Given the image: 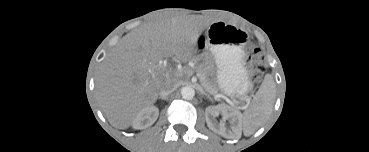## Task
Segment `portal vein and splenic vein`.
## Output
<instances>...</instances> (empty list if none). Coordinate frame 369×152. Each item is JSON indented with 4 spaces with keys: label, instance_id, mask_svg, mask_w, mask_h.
Here are the masks:
<instances>
[{
    "label": "portal vein and splenic vein",
    "instance_id": "obj_1",
    "mask_svg": "<svg viewBox=\"0 0 369 152\" xmlns=\"http://www.w3.org/2000/svg\"><path fill=\"white\" fill-rule=\"evenodd\" d=\"M180 75H182V72H180ZM210 94L214 95L215 97H222V98H224L226 101L230 102V101H229V99H228L227 97H225V96L217 95V94H215V93H213V92H210Z\"/></svg>",
    "mask_w": 369,
    "mask_h": 152
}]
</instances>
